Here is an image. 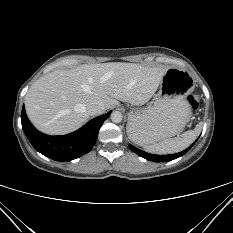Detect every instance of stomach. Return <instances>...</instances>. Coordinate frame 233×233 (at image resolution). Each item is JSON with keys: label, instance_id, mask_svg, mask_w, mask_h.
I'll list each match as a JSON object with an SVG mask.
<instances>
[{"label": "stomach", "instance_id": "1", "mask_svg": "<svg viewBox=\"0 0 233 233\" xmlns=\"http://www.w3.org/2000/svg\"><path fill=\"white\" fill-rule=\"evenodd\" d=\"M194 89L192 75L171 67L164 74L159 91L145 108L128 113L127 132L146 144L163 141L183 131L191 117L186 98Z\"/></svg>", "mask_w": 233, "mask_h": 233}]
</instances>
